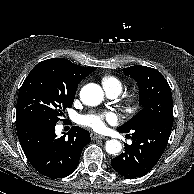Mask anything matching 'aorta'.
<instances>
[{
    "instance_id": "1",
    "label": "aorta",
    "mask_w": 194,
    "mask_h": 194,
    "mask_svg": "<svg viewBox=\"0 0 194 194\" xmlns=\"http://www.w3.org/2000/svg\"><path fill=\"white\" fill-rule=\"evenodd\" d=\"M103 97L104 93L102 88L94 83L85 85L80 91L81 101L89 106L99 105ZM105 149L107 153L116 155L121 151L122 145L118 140L112 139L106 142Z\"/></svg>"
}]
</instances>
